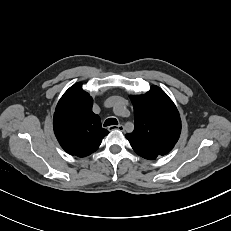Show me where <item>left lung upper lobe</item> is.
I'll use <instances>...</instances> for the list:
<instances>
[{
	"instance_id": "obj_1",
	"label": "left lung upper lobe",
	"mask_w": 231,
	"mask_h": 231,
	"mask_svg": "<svg viewBox=\"0 0 231 231\" xmlns=\"http://www.w3.org/2000/svg\"><path fill=\"white\" fill-rule=\"evenodd\" d=\"M134 107V131L126 134L134 151L154 160L169 153L179 139L181 119L169 96L152 86L144 95L131 96Z\"/></svg>"
}]
</instances>
